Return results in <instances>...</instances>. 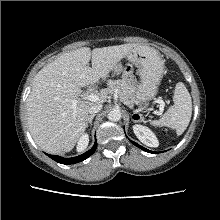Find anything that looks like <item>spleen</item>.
<instances>
[{
	"instance_id": "1",
	"label": "spleen",
	"mask_w": 220,
	"mask_h": 220,
	"mask_svg": "<svg viewBox=\"0 0 220 220\" xmlns=\"http://www.w3.org/2000/svg\"><path fill=\"white\" fill-rule=\"evenodd\" d=\"M174 105L171 106L160 120L151 122L155 127H169L181 135L189 125L192 115L191 96L182 82L176 84L174 90Z\"/></svg>"
}]
</instances>
